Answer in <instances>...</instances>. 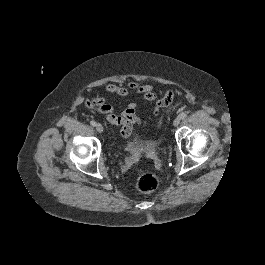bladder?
Here are the masks:
<instances>
[{
    "label": "bladder",
    "instance_id": "obj_1",
    "mask_svg": "<svg viewBox=\"0 0 265 265\" xmlns=\"http://www.w3.org/2000/svg\"><path fill=\"white\" fill-rule=\"evenodd\" d=\"M148 147H149L148 141H139V143L137 144V148H139V150H145L148 149Z\"/></svg>",
    "mask_w": 265,
    "mask_h": 265
}]
</instances>
